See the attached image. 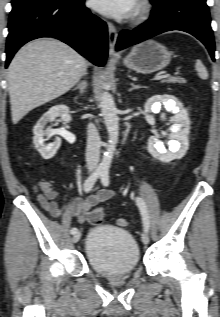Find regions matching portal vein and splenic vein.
I'll return each mask as SVG.
<instances>
[{
    "label": "portal vein and splenic vein",
    "instance_id": "18ae733b",
    "mask_svg": "<svg viewBox=\"0 0 220 317\" xmlns=\"http://www.w3.org/2000/svg\"><path fill=\"white\" fill-rule=\"evenodd\" d=\"M169 76H170L169 74L156 76V77L154 78V80L166 79V78H168Z\"/></svg>",
    "mask_w": 220,
    "mask_h": 317
}]
</instances>
